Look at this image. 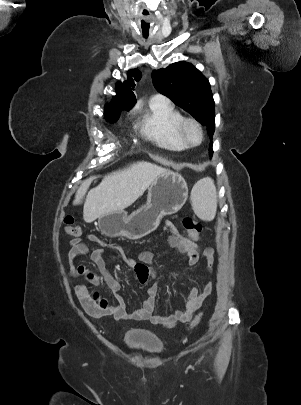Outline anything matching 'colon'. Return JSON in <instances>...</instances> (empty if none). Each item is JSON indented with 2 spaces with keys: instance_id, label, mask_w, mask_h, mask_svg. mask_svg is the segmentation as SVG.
I'll return each instance as SVG.
<instances>
[{
  "instance_id": "5ec220e1",
  "label": "colon",
  "mask_w": 301,
  "mask_h": 405,
  "mask_svg": "<svg viewBox=\"0 0 301 405\" xmlns=\"http://www.w3.org/2000/svg\"><path fill=\"white\" fill-rule=\"evenodd\" d=\"M65 231L67 234L79 237L82 234L81 227L76 223L73 216L68 215L64 219ZM182 225L188 232V235L192 238L194 243H199L201 238L199 237L202 231V223L196 219L185 217L182 220ZM82 304L85 310L93 317H99L103 315L108 308L107 301L100 297L97 292H92L84 298ZM202 313H199L191 322L190 329L194 328L201 320Z\"/></svg>"
}]
</instances>
